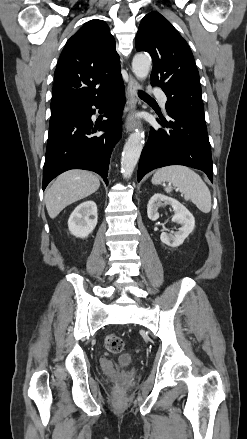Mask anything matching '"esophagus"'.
I'll list each match as a JSON object with an SVG mask.
<instances>
[{
  "mask_svg": "<svg viewBox=\"0 0 247 439\" xmlns=\"http://www.w3.org/2000/svg\"><path fill=\"white\" fill-rule=\"evenodd\" d=\"M139 88L140 85L138 81L130 74L129 81L127 84V96L129 100V109L131 112L134 111L136 109L137 104L140 103L138 97ZM139 125L140 122L138 120L134 119L131 116L127 117L125 127L128 132L133 131Z\"/></svg>",
  "mask_w": 247,
  "mask_h": 439,
  "instance_id": "esophagus-1",
  "label": "esophagus"
}]
</instances>
